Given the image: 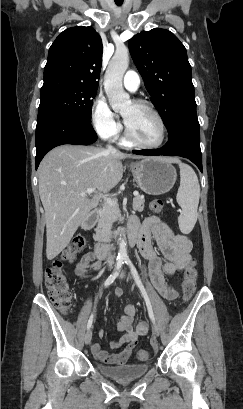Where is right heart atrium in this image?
<instances>
[{
  "label": "right heart atrium",
  "instance_id": "1",
  "mask_svg": "<svg viewBox=\"0 0 243 409\" xmlns=\"http://www.w3.org/2000/svg\"><path fill=\"white\" fill-rule=\"evenodd\" d=\"M91 123L103 138L115 139L121 132V125L106 100L97 96L91 107Z\"/></svg>",
  "mask_w": 243,
  "mask_h": 409
}]
</instances>
